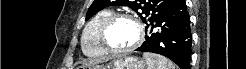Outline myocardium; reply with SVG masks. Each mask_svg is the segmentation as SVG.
Returning a JSON list of instances; mask_svg holds the SVG:
<instances>
[{
  "label": "myocardium",
  "instance_id": "obj_1",
  "mask_svg": "<svg viewBox=\"0 0 246 69\" xmlns=\"http://www.w3.org/2000/svg\"><path fill=\"white\" fill-rule=\"evenodd\" d=\"M119 19H127L132 21L137 29V39L136 41L130 45L129 47L123 48V49H116L114 47H112L109 42L107 41V33L109 31V28L111 27V25L119 20ZM144 40V28H143V24L142 22L134 15L130 14V13H122V12H118V13H112L110 16H108L103 23L100 26L99 29V41L101 43V45L103 46V48L114 55H122L125 54L129 51L135 50L137 47H139L141 45V43Z\"/></svg>",
  "mask_w": 246,
  "mask_h": 69
}]
</instances>
